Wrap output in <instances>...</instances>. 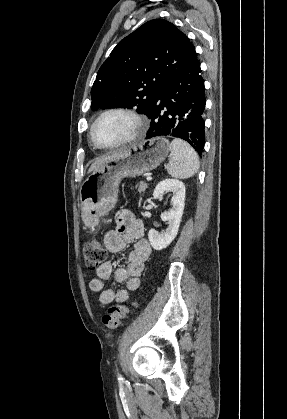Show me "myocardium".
<instances>
[{"mask_svg":"<svg viewBox=\"0 0 287 419\" xmlns=\"http://www.w3.org/2000/svg\"><path fill=\"white\" fill-rule=\"evenodd\" d=\"M110 114H123L128 116L129 118H131L133 120V122L135 123V130L132 133L131 136H129L128 138L115 143V144H102L100 142H98L95 138L94 135V130L95 127L97 125V123L104 118L107 115ZM146 130V121L144 119L143 116H141L137 111H135L134 109H131L129 107H123V106H117V107H111L108 108L104 111H102L97 117L96 119L93 121L91 127H90V138L91 141L93 142V144L95 146H97L98 148L101 149H114V148H119L125 145H128L134 141H136L138 138H140L144 132Z\"/></svg>","mask_w":287,"mask_h":419,"instance_id":"obj_1","label":"myocardium"}]
</instances>
